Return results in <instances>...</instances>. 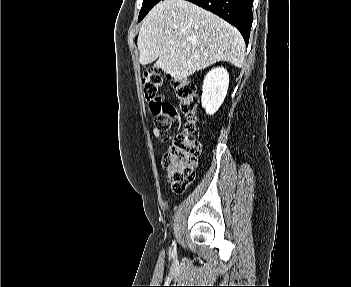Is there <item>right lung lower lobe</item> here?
Here are the masks:
<instances>
[{"instance_id":"obj_1","label":"right lung lower lobe","mask_w":351,"mask_h":287,"mask_svg":"<svg viewBox=\"0 0 351 287\" xmlns=\"http://www.w3.org/2000/svg\"><path fill=\"white\" fill-rule=\"evenodd\" d=\"M234 25L248 44L253 0H187Z\"/></svg>"}]
</instances>
